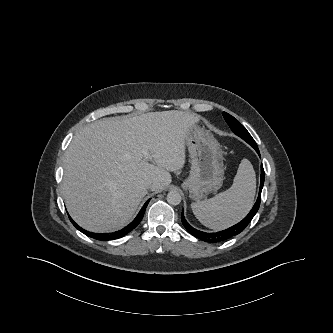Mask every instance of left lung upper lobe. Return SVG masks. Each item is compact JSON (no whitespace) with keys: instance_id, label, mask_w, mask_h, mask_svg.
I'll return each mask as SVG.
<instances>
[{"instance_id":"left-lung-upper-lobe-1","label":"left lung upper lobe","mask_w":333,"mask_h":333,"mask_svg":"<svg viewBox=\"0 0 333 333\" xmlns=\"http://www.w3.org/2000/svg\"><path fill=\"white\" fill-rule=\"evenodd\" d=\"M223 116L225 118V121L230 126L231 130L241 137L243 140H245L248 144L251 146L257 145L252 136L249 134V132L245 129V127L237 121L233 116L230 114L223 112Z\"/></svg>"}]
</instances>
